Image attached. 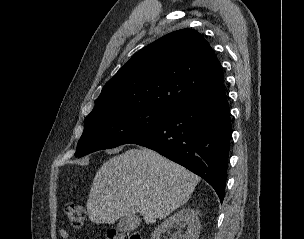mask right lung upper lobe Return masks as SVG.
Segmentation results:
<instances>
[{
	"label": "right lung upper lobe",
	"mask_w": 304,
	"mask_h": 239,
	"mask_svg": "<svg viewBox=\"0 0 304 239\" xmlns=\"http://www.w3.org/2000/svg\"><path fill=\"white\" fill-rule=\"evenodd\" d=\"M222 83L219 60L196 30L169 33L137 52L109 80L87 116L149 107L171 113Z\"/></svg>",
	"instance_id": "cb5924a9"
}]
</instances>
